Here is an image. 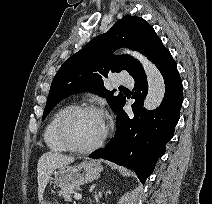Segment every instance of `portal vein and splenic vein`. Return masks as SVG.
Returning <instances> with one entry per match:
<instances>
[{
  "mask_svg": "<svg viewBox=\"0 0 212 204\" xmlns=\"http://www.w3.org/2000/svg\"><path fill=\"white\" fill-rule=\"evenodd\" d=\"M81 198H82V195H80V194L74 195V199H76V200H80Z\"/></svg>",
  "mask_w": 212,
  "mask_h": 204,
  "instance_id": "1",
  "label": "portal vein and splenic vein"
}]
</instances>
